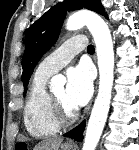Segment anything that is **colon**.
Returning <instances> with one entry per match:
<instances>
[{
  "instance_id": "colon-1",
  "label": "colon",
  "mask_w": 139,
  "mask_h": 150,
  "mask_svg": "<svg viewBox=\"0 0 139 150\" xmlns=\"http://www.w3.org/2000/svg\"><path fill=\"white\" fill-rule=\"evenodd\" d=\"M16 150H27V148L22 145H19L17 146Z\"/></svg>"
}]
</instances>
